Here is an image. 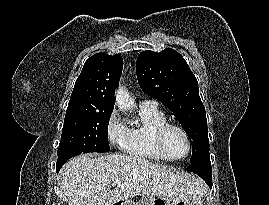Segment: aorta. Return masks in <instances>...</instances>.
<instances>
[{"label":"aorta","mask_w":269,"mask_h":205,"mask_svg":"<svg viewBox=\"0 0 269 205\" xmlns=\"http://www.w3.org/2000/svg\"><path fill=\"white\" fill-rule=\"evenodd\" d=\"M116 104L122 111H129L134 106V100L131 98V96L128 94V92L125 90V88L120 87L116 91Z\"/></svg>","instance_id":"obj_1"}]
</instances>
